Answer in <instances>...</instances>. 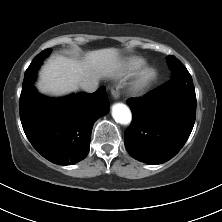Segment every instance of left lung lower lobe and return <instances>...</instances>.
<instances>
[{
	"label": "left lung lower lobe",
	"instance_id": "left-lung-lower-lobe-1",
	"mask_svg": "<svg viewBox=\"0 0 222 222\" xmlns=\"http://www.w3.org/2000/svg\"><path fill=\"white\" fill-rule=\"evenodd\" d=\"M133 121L125 131L128 153L144 163L161 164L187 141L196 118V95L190 74L171 78L142 98L127 100Z\"/></svg>",
	"mask_w": 222,
	"mask_h": 222
}]
</instances>
